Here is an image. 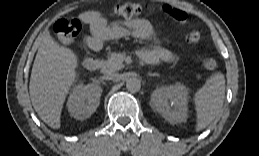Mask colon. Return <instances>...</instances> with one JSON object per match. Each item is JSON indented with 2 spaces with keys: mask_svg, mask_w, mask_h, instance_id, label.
<instances>
[{
  "mask_svg": "<svg viewBox=\"0 0 259 156\" xmlns=\"http://www.w3.org/2000/svg\"><path fill=\"white\" fill-rule=\"evenodd\" d=\"M147 10V5L139 3H124L115 7V13L123 18L131 19L140 16ZM164 14L181 24L188 23V15L179 9L165 6ZM81 23L76 19L62 18L54 24V31L58 42L62 45L72 43L81 31ZM200 39V33L197 30H192L186 34V40L194 43ZM202 64L207 71H214L217 68V63L213 58L205 57Z\"/></svg>",
  "mask_w": 259,
  "mask_h": 156,
  "instance_id": "5ec220e1",
  "label": "colon"
}]
</instances>
